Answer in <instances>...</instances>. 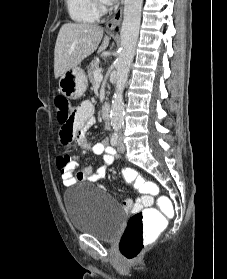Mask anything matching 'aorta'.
<instances>
[{
  "label": "aorta",
  "mask_w": 227,
  "mask_h": 279,
  "mask_svg": "<svg viewBox=\"0 0 227 279\" xmlns=\"http://www.w3.org/2000/svg\"><path fill=\"white\" fill-rule=\"evenodd\" d=\"M143 0H125L121 26V48L116 60V90L111 106V125L120 129L124 120L123 91L138 41Z\"/></svg>",
  "instance_id": "762f6f07"
}]
</instances>
